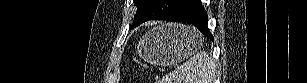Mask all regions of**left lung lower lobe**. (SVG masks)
Masks as SVG:
<instances>
[{
	"label": "left lung lower lobe",
	"instance_id": "obj_1",
	"mask_svg": "<svg viewBox=\"0 0 307 83\" xmlns=\"http://www.w3.org/2000/svg\"><path fill=\"white\" fill-rule=\"evenodd\" d=\"M163 20L192 24L213 40L207 27V14L200 0H175Z\"/></svg>",
	"mask_w": 307,
	"mask_h": 83
}]
</instances>
